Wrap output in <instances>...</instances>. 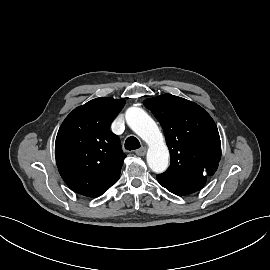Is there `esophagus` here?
<instances>
[{"instance_id": "34e87169", "label": "esophagus", "mask_w": 270, "mask_h": 270, "mask_svg": "<svg viewBox=\"0 0 270 270\" xmlns=\"http://www.w3.org/2000/svg\"><path fill=\"white\" fill-rule=\"evenodd\" d=\"M146 151H147L146 147H141L140 149H138L136 151V155H138V156H144L146 154Z\"/></svg>"}]
</instances>
